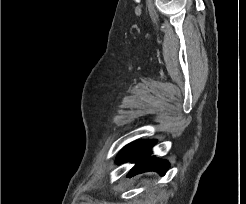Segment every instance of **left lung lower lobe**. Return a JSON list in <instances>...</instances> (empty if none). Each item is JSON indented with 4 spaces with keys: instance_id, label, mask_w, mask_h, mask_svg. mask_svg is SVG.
Returning a JSON list of instances; mask_svg holds the SVG:
<instances>
[{
    "instance_id": "0a47b994",
    "label": "left lung lower lobe",
    "mask_w": 246,
    "mask_h": 204,
    "mask_svg": "<svg viewBox=\"0 0 246 204\" xmlns=\"http://www.w3.org/2000/svg\"><path fill=\"white\" fill-rule=\"evenodd\" d=\"M156 143L155 140H139L126 146L117 156L116 162H136L135 167L128 176H134L147 171H156L163 175L169 168L166 160L151 157L150 148Z\"/></svg>"
}]
</instances>
